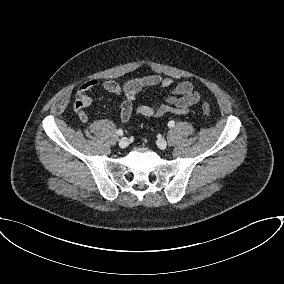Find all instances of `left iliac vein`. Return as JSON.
<instances>
[{
  "label": "left iliac vein",
  "instance_id": "1",
  "mask_svg": "<svg viewBox=\"0 0 284 284\" xmlns=\"http://www.w3.org/2000/svg\"><path fill=\"white\" fill-rule=\"evenodd\" d=\"M157 146H158L160 149L164 150V149L167 147V141H166L165 139H159V140L157 141Z\"/></svg>",
  "mask_w": 284,
  "mask_h": 284
}]
</instances>
